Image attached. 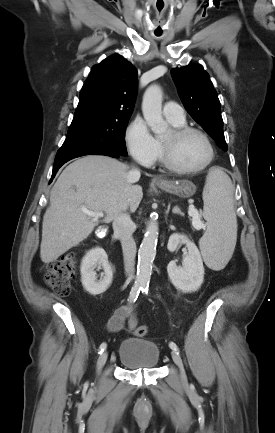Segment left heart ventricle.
<instances>
[{
    "label": "left heart ventricle",
    "mask_w": 275,
    "mask_h": 433,
    "mask_svg": "<svg viewBox=\"0 0 275 433\" xmlns=\"http://www.w3.org/2000/svg\"><path fill=\"white\" fill-rule=\"evenodd\" d=\"M162 140L171 148L174 161L181 167H198L209 157L208 144L199 134L191 133L179 140H174L169 131Z\"/></svg>",
    "instance_id": "b2bd125f"
}]
</instances>
